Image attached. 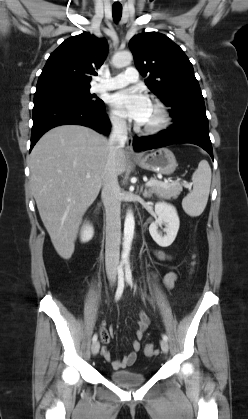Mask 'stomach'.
<instances>
[{
	"label": "stomach",
	"mask_w": 248,
	"mask_h": 419,
	"mask_svg": "<svg viewBox=\"0 0 248 419\" xmlns=\"http://www.w3.org/2000/svg\"><path fill=\"white\" fill-rule=\"evenodd\" d=\"M135 162L145 170L154 171L164 175L172 174L177 162L172 151L167 148L157 149L144 157L135 159Z\"/></svg>",
	"instance_id": "obj_1"
}]
</instances>
